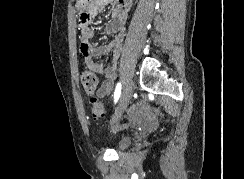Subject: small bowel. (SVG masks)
<instances>
[{
	"label": "small bowel",
	"instance_id": "c3829d8e",
	"mask_svg": "<svg viewBox=\"0 0 244 179\" xmlns=\"http://www.w3.org/2000/svg\"><path fill=\"white\" fill-rule=\"evenodd\" d=\"M87 4L88 9H85L84 12L86 17L78 18L81 32L80 52L84 65L103 77V82L98 90V96L105 97L110 93L114 84L117 63L122 52V43L125 37L128 9L127 4L122 1L112 3L109 0H93L92 3ZM111 4L113 6V18L105 26L104 33L112 35L113 38L106 44L93 46L90 43V39L94 34L91 28L92 19ZM107 53L111 54V61L108 64L98 60ZM136 115L130 116V121H137L147 126L158 125V122L155 121V116H148L147 110H136Z\"/></svg>",
	"mask_w": 244,
	"mask_h": 179
}]
</instances>
